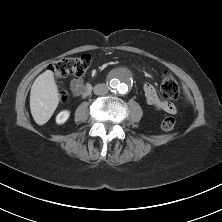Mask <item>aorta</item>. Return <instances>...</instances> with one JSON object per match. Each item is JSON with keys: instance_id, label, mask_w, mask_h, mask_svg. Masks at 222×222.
Listing matches in <instances>:
<instances>
[{"instance_id": "obj_1", "label": "aorta", "mask_w": 222, "mask_h": 222, "mask_svg": "<svg viewBox=\"0 0 222 222\" xmlns=\"http://www.w3.org/2000/svg\"><path fill=\"white\" fill-rule=\"evenodd\" d=\"M132 78L126 69L117 70L110 78L109 85L113 92L125 94L130 89Z\"/></svg>"}]
</instances>
